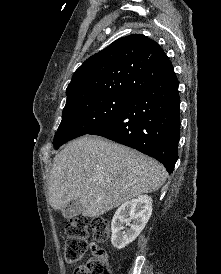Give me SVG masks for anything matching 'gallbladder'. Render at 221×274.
Returning a JSON list of instances; mask_svg holds the SVG:
<instances>
[{"label":"gallbladder","mask_w":221,"mask_h":274,"mask_svg":"<svg viewBox=\"0 0 221 274\" xmlns=\"http://www.w3.org/2000/svg\"><path fill=\"white\" fill-rule=\"evenodd\" d=\"M83 205L79 200H73L68 209L63 211L65 217H75L82 213Z\"/></svg>","instance_id":"obj_1"}]
</instances>
